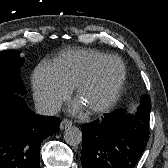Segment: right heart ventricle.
<instances>
[{"mask_svg":"<svg viewBox=\"0 0 168 168\" xmlns=\"http://www.w3.org/2000/svg\"><path fill=\"white\" fill-rule=\"evenodd\" d=\"M104 56V53L91 49L69 50L55 58L51 66L59 79L72 89L88 69Z\"/></svg>","mask_w":168,"mask_h":168,"instance_id":"obj_1","label":"right heart ventricle"}]
</instances>
